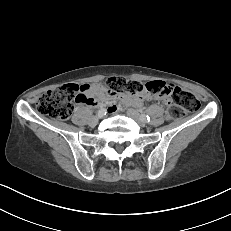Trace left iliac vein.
Returning <instances> with one entry per match:
<instances>
[{
    "label": "left iliac vein",
    "instance_id": "left-iliac-vein-1",
    "mask_svg": "<svg viewBox=\"0 0 231 231\" xmlns=\"http://www.w3.org/2000/svg\"><path fill=\"white\" fill-rule=\"evenodd\" d=\"M127 113L131 118L136 120L141 127H145L147 121L139 114L138 111L135 109H128Z\"/></svg>",
    "mask_w": 231,
    "mask_h": 231
}]
</instances>
